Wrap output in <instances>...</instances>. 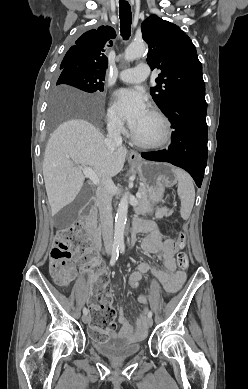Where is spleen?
<instances>
[{
  "instance_id": "1",
  "label": "spleen",
  "mask_w": 248,
  "mask_h": 389,
  "mask_svg": "<svg viewBox=\"0 0 248 389\" xmlns=\"http://www.w3.org/2000/svg\"><path fill=\"white\" fill-rule=\"evenodd\" d=\"M178 181V196L181 199L180 213L183 219H188L195 201V188L191 177L182 169H174Z\"/></svg>"
}]
</instances>
